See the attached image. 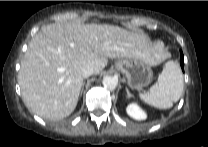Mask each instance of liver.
<instances>
[{"label": "liver", "mask_w": 208, "mask_h": 147, "mask_svg": "<svg viewBox=\"0 0 208 147\" xmlns=\"http://www.w3.org/2000/svg\"><path fill=\"white\" fill-rule=\"evenodd\" d=\"M167 55L141 33L108 24H50L29 43L18 74L26 106L47 119L70 115L83 84L81 70L99 74L108 58H136L156 66Z\"/></svg>", "instance_id": "liver-1"}]
</instances>
